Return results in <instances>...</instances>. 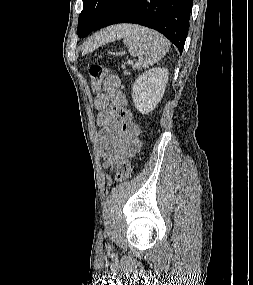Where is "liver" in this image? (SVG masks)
Here are the masks:
<instances>
[{
    "mask_svg": "<svg viewBox=\"0 0 253 285\" xmlns=\"http://www.w3.org/2000/svg\"><path fill=\"white\" fill-rule=\"evenodd\" d=\"M133 25H118L110 27L93 37L91 42L86 46V51H92L96 47L103 45L105 43L114 41L115 39L121 38L125 32L130 30Z\"/></svg>",
    "mask_w": 253,
    "mask_h": 285,
    "instance_id": "6515ba94",
    "label": "liver"
}]
</instances>
